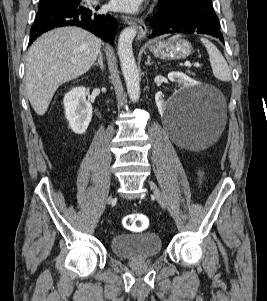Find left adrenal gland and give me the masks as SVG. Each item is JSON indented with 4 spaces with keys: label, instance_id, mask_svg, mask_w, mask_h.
Wrapping results in <instances>:
<instances>
[{
    "label": "left adrenal gland",
    "instance_id": "left-adrenal-gland-1",
    "mask_svg": "<svg viewBox=\"0 0 267 301\" xmlns=\"http://www.w3.org/2000/svg\"><path fill=\"white\" fill-rule=\"evenodd\" d=\"M150 60H151V58H150V56H148V58H147V62L145 63V65H152V64H153V62L151 63V62H150Z\"/></svg>",
    "mask_w": 267,
    "mask_h": 301
}]
</instances>
